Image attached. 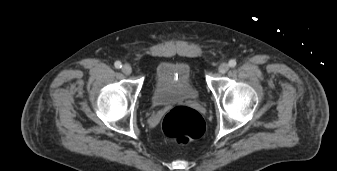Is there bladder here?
Returning a JSON list of instances; mask_svg holds the SVG:
<instances>
[{
  "mask_svg": "<svg viewBox=\"0 0 337 171\" xmlns=\"http://www.w3.org/2000/svg\"><path fill=\"white\" fill-rule=\"evenodd\" d=\"M190 68L185 63L163 62L155 71L151 102L155 106H168L184 101L198 100Z\"/></svg>",
  "mask_w": 337,
  "mask_h": 171,
  "instance_id": "1",
  "label": "bladder"
}]
</instances>
